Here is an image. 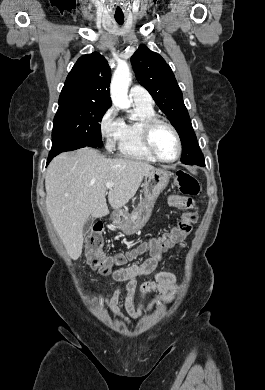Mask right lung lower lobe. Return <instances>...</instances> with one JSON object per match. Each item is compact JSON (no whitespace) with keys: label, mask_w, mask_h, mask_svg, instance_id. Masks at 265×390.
<instances>
[{"label":"right lung lower lobe","mask_w":265,"mask_h":390,"mask_svg":"<svg viewBox=\"0 0 265 390\" xmlns=\"http://www.w3.org/2000/svg\"><path fill=\"white\" fill-rule=\"evenodd\" d=\"M82 147H86V146H82V145H71V144H57V145H54L52 144V149L49 153V156H48V160H47V164L56 156L58 155L59 153L61 152H64V151H69V150H75V149H79V148H82Z\"/></svg>","instance_id":"1"}]
</instances>
